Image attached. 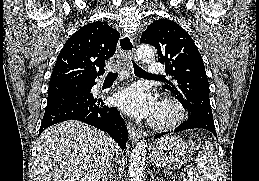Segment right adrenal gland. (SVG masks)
<instances>
[{
    "label": "right adrenal gland",
    "mask_w": 259,
    "mask_h": 181,
    "mask_svg": "<svg viewBox=\"0 0 259 181\" xmlns=\"http://www.w3.org/2000/svg\"><path fill=\"white\" fill-rule=\"evenodd\" d=\"M112 179H113V175H112V171H110L105 181H112Z\"/></svg>",
    "instance_id": "obj_1"
}]
</instances>
